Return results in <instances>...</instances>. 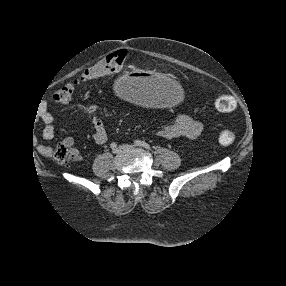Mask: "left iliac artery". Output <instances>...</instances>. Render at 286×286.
Masks as SVG:
<instances>
[{
    "instance_id": "44dca946",
    "label": "left iliac artery",
    "mask_w": 286,
    "mask_h": 286,
    "mask_svg": "<svg viewBox=\"0 0 286 286\" xmlns=\"http://www.w3.org/2000/svg\"><path fill=\"white\" fill-rule=\"evenodd\" d=\"M134 144L137 145V146H140V147H144L145 149L147 150H151V147L149 144H147L146 142L144 141H141V140H135L134 141Z\"/></svg>"
}]
</instances>
